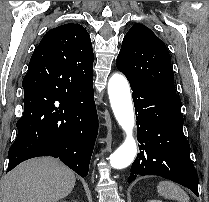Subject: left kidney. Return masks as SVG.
Masks as SVG:
<instances>
[{
  "mask_svg": "<svg viewBox=\"0 0 209 202\" xmlns=\"http://www.w3.org/2000/svg\"><path fill=\"white\" fill-rule=\"evenodd\" d=\"M148 202H162L161 200H149Z\"/></svg>",
  "mask_w": 209,
  "mask_h": 202,
  "instance_id": "obj_1",
  "label": "left kidney"
}]
</instances>
